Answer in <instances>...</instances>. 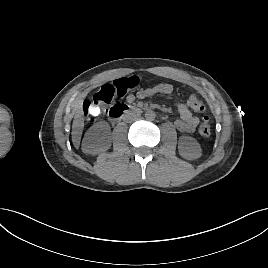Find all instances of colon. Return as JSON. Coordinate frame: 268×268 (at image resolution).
Returning a JSON list of instances; mask_svg holds the SVG:
<instances>
[{"label":"colon","instance_id":"1","mask_svg":"<svg viewBox=\"0 0 268 268\" xmlns=\"http://www.w3.org/2000/svg\"><path fill=\"white\" fill-rule=\"evenodd\" d=\"M140 83V79L137 76L123 77L114 80L111 83L102 85L94 94L92 101H85L83 104V112L86 116L92 117L90 113L91 105H98L100 111H104L116 97H123L126 93ZM188 105L194 111L204 114L202 122L199 126V134L203 138H207L211 135V124L209 117L205 115L206 106L202 98L195 95H191L188 99Z\"/></svg>","mask_w":268,"mask_h":268}]
</instances>
